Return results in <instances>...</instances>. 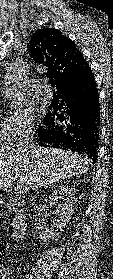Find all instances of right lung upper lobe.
Returning a JSON list of instances; mask_svg holds the SVG:
<instances>
[{"label": "right lung upper lobe", "mask_w": 113, "mask_h": 279, "mask_svg": "<svg viewBox=\"0 0 113 279\" xmlns=\"http://www.w3.org/2000/svg\"><path fill=\"white\" fill-rule=\"evenodd\" d=\"M35 62L48 66L46 76L54 78L57 92L77 81L89 68L75 43L55 28L38 30L30 40Z\"/></svg>", "instance_id": "right-lung-upper-lobe-1"}]
</instances>
